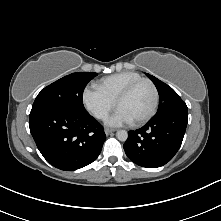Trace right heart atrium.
Wrapping results in <instances>:
<instances>
[{
	"label": "right heart atrium",
	"mask_w": 221,
	"mask_h": 221,
	"mask_svg": "<svg viewBox=\"0 0 221 221\" xmlns=\"http://www.w3.org/2000/svg\"><path fill=\"white\" fill-rule=\"evenodd\" d=\"M85 108L98 120H104L113 110L115 102L97 87H87L82 94Z\"/></svg>",
	"instance_id": "obj_1"
}]
</instances>
